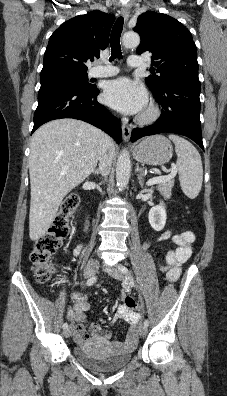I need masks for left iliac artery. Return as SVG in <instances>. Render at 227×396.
<instances>
[{"label":"left iliac artery","mask_w":227,"mask_h":396,"mask_svg":"<svg viewBox=\"0 0 227 396\" xmlns=\"http://www.w3.org/2000/svg\"><path fill=\"white\" fill-rule=\"evenodd\" d=\"M121 271L124 273V274H129V270L125 267V266H121ZM148 325H149V321L146 319L145 321H144V326L147 328L148 327Z\"/></svg>","instance_id":"44dca946"}]
</instances>
